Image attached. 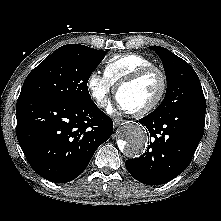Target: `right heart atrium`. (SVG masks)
<instances>
[{
	"label": "right heart atrium",
	"instance_id": "d8ad5b80",
	"mask_svg": "<svg viewBox=\"0 0 221 221\" xmlns=\"http://www.w3.org/2000/svg\"><path fill=\"white\" fill-rule=\"evenodd\" d=\"M89 94L100 108H105L109 101V96L113 90V85L97 71L91 72L87 79Z\"/></svg>",
	"mask_w": 221,
	"mask_h": 221
}]
</instances>
